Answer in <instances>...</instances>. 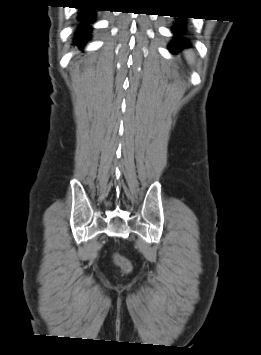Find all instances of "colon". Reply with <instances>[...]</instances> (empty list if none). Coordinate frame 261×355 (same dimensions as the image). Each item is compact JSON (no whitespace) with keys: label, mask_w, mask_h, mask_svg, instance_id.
<instances>
[{"label":"colon","mask_w":261,"mask_h":355,"mask_svg":"<svg viewBox=\"0 0 261 355\" xmlns=\"http://www.w3.org/2000/svg\"><path fill=\"white\" fill-rule=\"evenodd\" d=\"M113 257H114L115 263L118 266H120L123 269V271H125V272L130 271L131 264H130V262L127 259H125L123 256H121L119 254H114Z\"/></svg>","instance_id":"5ec220e1"}]
</instances>
